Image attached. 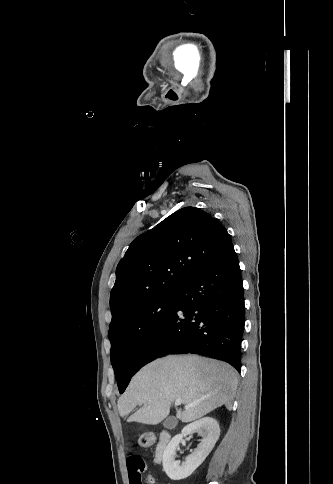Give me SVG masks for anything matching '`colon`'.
<instances>
[{"label":"colon","mask_w":333,"mask_h":484,"mask_svg":"<svg viewBox=\"0 0 333 484\" xmlns=\"http://www.w3.org/2000/svg\"><path fill=\"white\" fill-rule=\"evenodd\" d=\"M156 436L153 432H144L138 438V444L140 447L149 448L154 445Z\"/></svg>","instance_id":"5ec220e1"}]
</instances>
